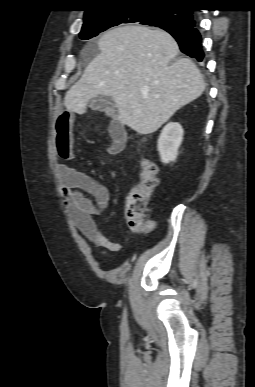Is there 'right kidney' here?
Listing matches in <instances>:
<instances>
[{"mask_svg":"<svg viewBox=\"0 0 255 387\" xmlns=\"http://www.w3.org/2000/svg\"><path fill=\"white\" fill-rule=\"evenodd\" d=\"M183 128L179 123H168L161 131L157 149L161 162H174L178 156V149L183 140Z\"/></svg>","mask_w":255,"mask_h":387,"instance_id":"obj_1","label":"right kidney"}]
</instances>
